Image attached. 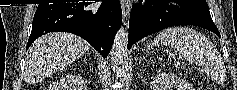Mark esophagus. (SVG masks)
I'll list each match as a JSON object with an SVG mask.
<instances>
[{"label":"esophagus","instance_id":"1","mask_svg":"<svg viewBox=\"0 0 237 90\" xmlns=\"http://www.w3.org/2000/svg\"><path fill=\"white\" fill-rule=\"evenodd\" d=\"M121 6H122L123 18L126 19L130 13L131 8H132V2H131V0H122Z\"/></svg>","mask_w":237,"mask_h":90}]
</instances>
